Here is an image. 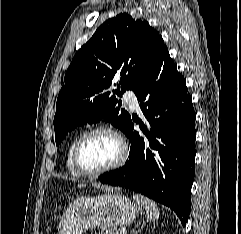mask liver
<instances>
[{"mask_svg": "<svg viewBox=\"0 0 241 234\" xmlns=\"http://www.w3.org/2000/svg\"><path fill=\"white\" fill-rule=\"evenodd\" d=\"M93 187H96V188H104V186L98 184V183H93L92 184ZM78 187L81 188V187H86V184H78Z\"/></svg>", "mask_w": 241, "mask_h": 234, "instance_id": "6515ba94", "label": "liver"}]
</instances>
